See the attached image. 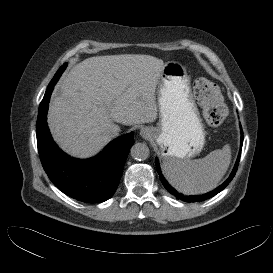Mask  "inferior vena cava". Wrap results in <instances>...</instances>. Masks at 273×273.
<instances>
[{
    "instance_id": "obj_1",
    "label": "inferior vena cava",
    "mask_w": 273,
    "mask_h": 273,
    "mask_svg": "<svg viewBox=\"0 0 273 273\" xmlns=\"http://www.w3.org/2000/svg\"><path fill=\"white\" fill-rule=\"evenodd\" d=\"M118 132H119V130H117L116 128H113V129L111 130V132H110V136H111L112 138H114V137H116V136L118 135Z\"/></svg>"
}]
</instances>
